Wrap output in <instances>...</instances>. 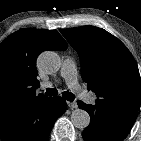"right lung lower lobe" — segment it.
Listing matches in <instances>:
<instances>
[{
    "mask_svg": "<svg viewBox=\"0 0 141 141\" xmlns=\"http://www.w3.org/2000/svg\"><path fill=\"white\" fill-rule=\"evenodd\" d=\"M61 97L13 109L0 118L2 141H47L56 119L66 110Z\"/></svg>",
    "mask_w": 141,
    "mask_h": 141,
    "instance_id": "obj_1",
    "label": "right lung lower lobe"
}]
</instances>
